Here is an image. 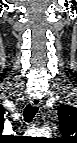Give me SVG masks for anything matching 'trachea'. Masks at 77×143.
I'll return each instance as SVG.
<instances>
[{
	"mask_svg": "<svg viewBox=\"0 0 77 143\" xmlns=\"http://www.w3.org/2000/svg\"><path fill=\"white\" fill-rule=\"evenodd\" d=\"M37 112H38V107L28 104L24 109L23 113L24 120L28 123L31 122Z\"/></svg>",
	"mask_w": 77,
	"mask_h": 143,
	"instance_id": "3493384b",
	"label": "trachea"
}]
</instances>
